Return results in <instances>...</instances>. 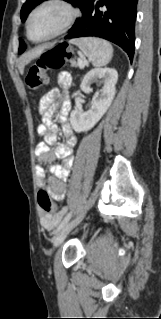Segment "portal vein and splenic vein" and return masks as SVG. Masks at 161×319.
Segmentation results:
<instances>
[{"mask_svg":"<svg viewBox=\"0 0 161 319\" xmlns=\"http://www.w3.org/2000/svg\"><path fill=\"white\" fill-rule=\"evenodd\" d=\"M84 61H83V59L82 58H78V64H79V67L80 68H83L84 67Z\"/></svg>","mask_w":161,"mask_h":319,"instance_id":"1","label":"portal vein and splenic vein"}]
</instances>
